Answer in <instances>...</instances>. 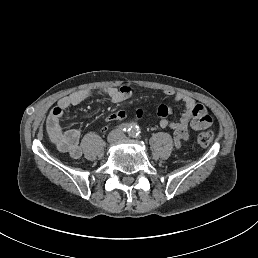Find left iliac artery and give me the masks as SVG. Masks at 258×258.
<instances>
[{"instance_id": "obj_1", "label": "left iliac artery", "mask_w": 258, "mask_h": 258, "mask_svg": "<svg viewBox=\"0 0 258 258\" xmlns=\"http://www.w3.org/2000/svg\"><path fill=\"white\" fill-rule=\"evenodd\" d=\"M141 129L137 124H133L132 129L129 132V135L133 138H138L140 136Z\"/></svg>"}]
</instances>
